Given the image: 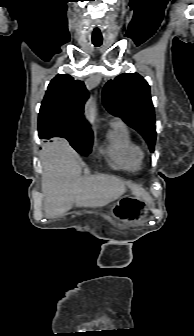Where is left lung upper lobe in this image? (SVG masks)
<instances>
[{"instance_id": "1", "label": "left lung upper lobe", "mask_w": 194, "mask_h": 336, "mask_svg": "<svg viewBox=\"0 0 194 336\" xmlns=\"http://www.w3.org/2000/svg\"><path fill=\"white\" fill-rule=\"evenodd\" d=\"M102 96L105 108L137 130L152 151L156 139L155 114L150 87L144 78L137 73L121 74L106 83Z\"/></svg>"}]
</instances>
